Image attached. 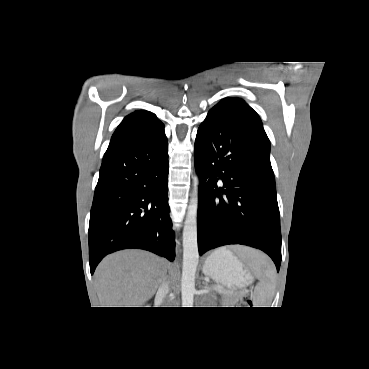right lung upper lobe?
Instances as JSON below:
<instances>
[{
    "label": "right lung upper lobe",
    "instance_id": "right-lung-upper-lobe-1",
    "mask_svg": "<svg viewBox=\"0 0 369 369\" xmlns=\"http://www.w3.org/2000/svg\"><path fill=\"white\" fill-rule=\"evenodd\" d=\"M163 128L164 125L154 114L147 111H136L126 116L117 127L108 149L155 134Z\"/></svg>",
    "mask_w": 369,
    "mask_h": 369
}]
</instances>
